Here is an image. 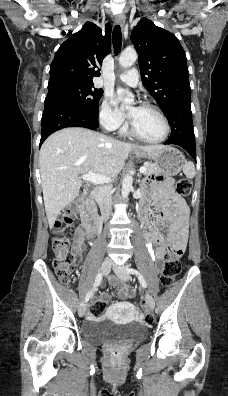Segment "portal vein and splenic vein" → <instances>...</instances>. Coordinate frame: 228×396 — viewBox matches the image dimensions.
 Instances as JSON below:
<instances>
[{"label": "portal vein and splenic vein", "mask_w": 228, "mask_h": 396, "mask_svg": "<svg viewBox=\"0 0 228 396\" xmlns=\"http://www.w3.org/2000/svg\"><path fill=\"white\" fill-rule=\"evenodd\" d=\"M140 173H144L146 171V167L142 166L139 169ZM81 178L85 181L91 182L93 184H104L111 181L109 177L98 175L90 170L87 174H83Z\"/></svg>", "instance_id": "18ae733b"}]
</instances>
